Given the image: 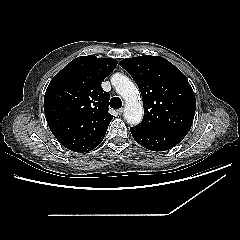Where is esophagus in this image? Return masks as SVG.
<instances>
[{
    "mask_svg": "<svg viewBox=\"0 0 240 240\" xmlns=\"http://www.w3.org/2000/svg\"><path fill=\"white\" fill-rule=\"evenodd\" d=\"M117 113H118L119 115H122V114H123V108L118 109V110H117Z\"/></svg>",
    "mask_w": 240,
    "mask_h": 240,
    "instance_id": "obj_1",
    "label": "esophagus"
}]
</instances>
